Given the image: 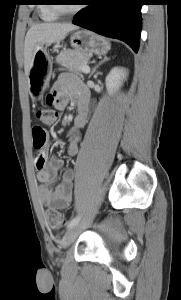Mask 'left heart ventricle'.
Here are the masks:
<instances>
[{
	"label": "left heart ventricle",
	"instance_id": "1",
	"mask_svg": "<svg viewBox=\"0 0 181 300\" xmlns=\"http://www.w3.org/2000/svg\"><path fill=\"white\" fill-rule=\"evenodd\" d=\"M64 8L66 9H70L72 8V5L71 4H62Z\"/></svg>",
	"mask_w": 181,
	"mask_h": 300
}]
</instances>
